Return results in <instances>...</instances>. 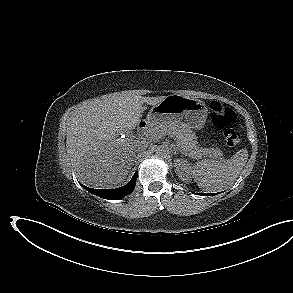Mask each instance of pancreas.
<instances>
[{
  "mask_svg": "<svg viewBox=\"0 0 293 293\" xmlns=\"http://www.w3.org/2000/svg\"><path fill=\"white\" fill-rule=\"evenodd\" d=\"M166 134L173 135L181 152L191 158L201 159L202 156L218 158L223 155L220 149L199 147L195 134L185 123L171 122L155 125L147 133L151 140H158Z\"/></svg>",
  "mask_w": 293,
  "mask_h": 293,
  "instance_id": "pancreas-1",
  "label": "pancreas"
}]
</instances>
